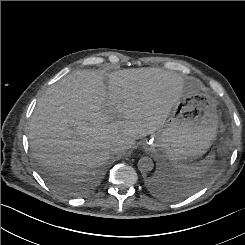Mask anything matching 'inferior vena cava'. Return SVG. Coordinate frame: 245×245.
<instances>
[{"label":"inferior vena cava","mask_w":245,"mask_h":245,"mask_svg":"<svg viewBox=\"0 0 245 245\" xmlns=\"http://www.w3.org/2000/svg\"><path fill=\"white\" fill-rule=\"evenodd\" d=\"M112 150L115 152L123 153L125 150V147L118 146V147L113 148Z\"/></svg>","instance_id":"602c4592"}]
</instances>
